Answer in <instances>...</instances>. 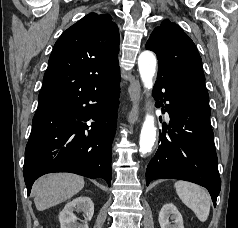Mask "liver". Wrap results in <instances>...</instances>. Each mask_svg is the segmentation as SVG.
I'll return each instance as SVG.
<instances>
[{
  "mask_svg": "<svg viewBox=\"0 0 238 228\" xmlns=\"http://www.w3.org/2000/svg\"><path fill=\"white\" fill-rule=\"evenodd\" d=\"M84 184L83 177L70 173L40 177L32 188L36 209L44 211L70 199L83 189Z\"/></svg>",
  "mask_w": 238,
  "mask_h": 228,
  "instance_id": "6515ba94",
  "label": "liver"
}]
</instances>
